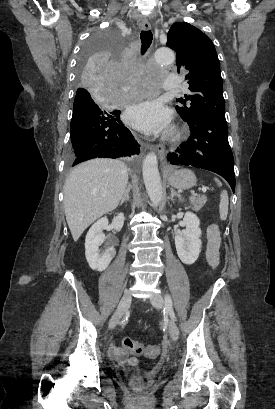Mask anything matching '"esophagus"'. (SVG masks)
<instances>
[{
	"label": "esophagus",
	"mask_w": 275,
	"mask_h": 409,
	"mask_svg": "<svg viewBox=\"0 0 275 409\" xmlns=\"http://www.w3.org/2000/svg\"><path fill=\"white\" fill-rule=\"evenodd\" d=\"M139 27H140L141 30L148 31V30H150L151 25H150L149 21H148L146 18H144V19L141 21ZM145 147H146V148H149V146H145ZM155 149H156V151L158 152V154H159L160 157L163 158V157L166 156V149H165V146H164V145L158 144V145H156Z\"/></svg>",
	"instance_id": "34e87169"
}]
</instances>
